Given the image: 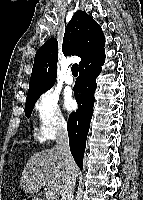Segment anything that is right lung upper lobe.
<instances>
[{
  "label": "right lung upper lobe",
  "mask_w": 143,
  "mask_h": 200,
  "mask_svg": "<svg viewBox=\"0 0 143 200\" xmlns=\"http://www.w3.org/2000/svg\"><path fill=\"white\" fill-rule=\"evenodd\" d=\"M101 27L84 11H77L66 26L62 50L81 58L79 67L104 50ZM58 43L49 39L36 52L26 99L53 86L57 77Z\"/></svg>",
  "instance_id": "cb5924a9"
}]
</instances>
